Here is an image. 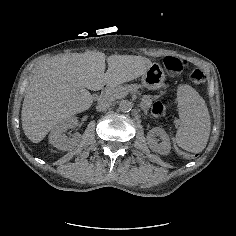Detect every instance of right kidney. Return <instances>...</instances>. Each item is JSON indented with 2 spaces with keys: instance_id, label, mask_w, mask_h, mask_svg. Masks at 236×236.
I'll return each instance as SVG.
<instances>
[{
  "instance_id": "right-kidney-1",
  "label": "right kidney",
  "mask_w": 236,
  "mask_h": 236,
  "mask_svg": "<svg viewBox=\"0 0 236 236\" xmlns=\"http://www.w3.org/2000/svg\"><path fill=\"white\" fill-rule=\"evenodd\" d=\"M77 124V118H69L63 125L56 127L49 134V143L62 151H71L81 146V135L75 133L73 137L68 138L63 132Z\"/></svg>"
}]
</instances>
